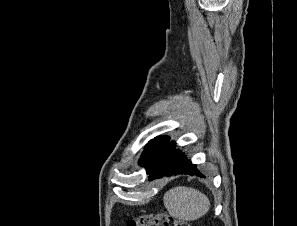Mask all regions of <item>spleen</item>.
<instances>
[{
	"label": "spleen",
	"mask_w": 297,
	"mask_h": 226,
	"mask_svg": "<svg viewBox=\"0 0 297 226\" xmlns=\"http://www.w3.org/2000/svg\"><path fill=\"white\" fill-rule=\"evenodd\" d=\"M163 200L169 214L184 221H194L210 208L208 197L192 187H174L164 194Z\"/></svg>",
	"instance_id": "1"
}]
</instances>
